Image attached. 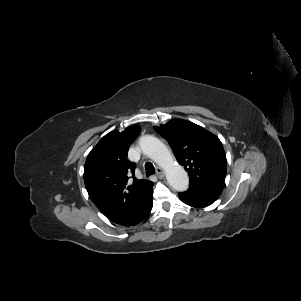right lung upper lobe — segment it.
<instances>
[{
  "label": "right lung upper lobe",
  "instance_id": "cb5924a9",
  "mask_svg": "<svg viewBox=\"0 0 301 301\" xmlns=\"http://www.w3.org/2000/svg\"><path fill=\"white\" fill-rule=\"evenodd\" d=\"M140 133L133 125L123 132L105 135L89 153L84 167V181L88 194L97 208L111 221L125 224L143 203L153 183L134 178L135 164L127 160L129 146Z\"/></svg>",
  "mask_w": 301,
  "mask_h": 301
}]
</instances>
